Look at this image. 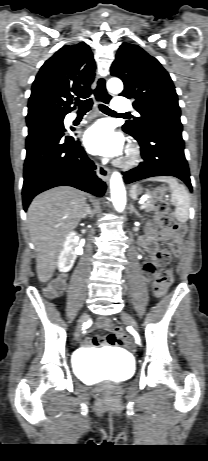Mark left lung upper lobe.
Returning a JSON list of instances; mask_svg holds the SVG:
<instances>
[{
    "instance_id": "left-lung-upper-lobe-1",
    "label": "left lung upper lobe",
    "mask_w": 208,
    "mask_h": 461,
    "mask_svg": "<svg viewBox=\"0 0 208 461\" xmlns=\"http://www.w3.org/2000/svg\"><path fill=\"white\" fill-rule=\"evenodd\" d=\"M111 75L120 78V94L133 98L140 117L127 121L123 131L140 136L149 126L160 121H180V107L172 79L160 62L138 45L124 43L111 66Z\"/></svg>"
}]
</instances>
